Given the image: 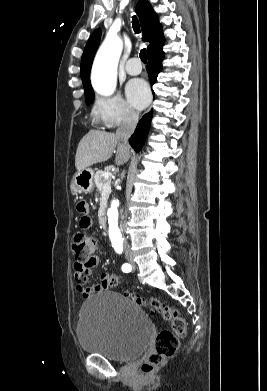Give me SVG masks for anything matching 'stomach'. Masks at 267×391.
Instances as JSON below:
<instances>
[{
	"instance_id": "stomach-1",
	"label": "stomach",
	"mask_w": 267,
	"mask_h": 391,
	"mask_svg": "<svg viewBox=\"0 0 267 391\" xmlns=\"http://www.w3.org/2000/svg\"><path fill=\"white\" fill-rule=\"evenodd\" d=\"M94 190V171L85 169L77 172L71 182L70 191L73 195L89 194Z\"/></svg>"
}]
</instances>
